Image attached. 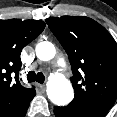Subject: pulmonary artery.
<instances>
[{
    "mask_svg": "<svg viewBox=\"0 0 117 117\" xmlns=\"http://www.w3.org/2000/svg\"><path fill=\"white\" fill-rule=\"evenodd\" d=\"M55 65L59 69H64L66 67V63H65V61L62 58L58 59L56 61Z\"/></svg>",
    "mask_w": 117,
    "mask_h": 117,
    "instance_id": "obj_1",
    "label": "pulmonary artery"
}]
</instances>
